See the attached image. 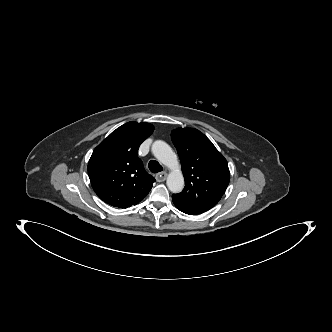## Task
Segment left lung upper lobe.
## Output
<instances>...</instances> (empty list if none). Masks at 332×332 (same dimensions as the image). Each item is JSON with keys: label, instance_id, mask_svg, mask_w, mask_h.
Returning <instances> with one entry per match:
<instances>
[{"label": "left lung upper lobe", "instance_id": "left-lung-upper-lobe-1", "mask_svg": "<svg viewBox=\"0 0 332 332\" xmlns=\"http://www.w3.org/2000/svg\"><path fill=\"white\" fill-rule=\"evenodd\" d=\"M177 149L185 187L172 199L205 212L221 199L230 180L228 163L212 142L193 128H178L171 132Z\"/></svg>", "mask_w": 332, "mask_h": 332}]
</instances>
